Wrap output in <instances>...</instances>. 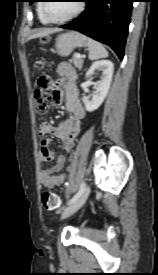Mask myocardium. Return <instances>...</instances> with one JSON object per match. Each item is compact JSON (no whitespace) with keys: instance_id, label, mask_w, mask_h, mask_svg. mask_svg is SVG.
<instances>
[{"instance_id":"myocardium-1","label":"myocardium","mask_w":158,"mask_h":275,"mask_svg":"<svg viewBox=\"0 0 158 275\" xmlns=\"http://www.w3.org/2000/svg\"><path fill=\"white\" fill-rule=\"evenodd\" d=\"M46 2H48V1H44V3H42L41 11H42V14H43L44 18L46 19V21L48 23H52V24H62V23L68 22V21L76 18L78 15H80L83 12L84 7H85L84 1L80 0L76 10L71 15H69L68 17L63 18V19H52L46 13V5H47Z\"/></svg>"}]
</instances>
